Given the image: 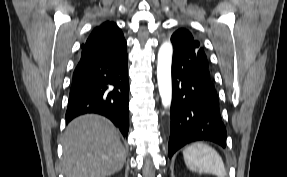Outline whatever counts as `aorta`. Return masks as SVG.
<instances>
[{
	"mask_svg": "<svg viewBox=\"0 0 287 177\" xmlns=\"http://www.w3.org/2000/svg\"><path fill=\"white\" fill-rule=\"evenodd\" d=\"M173 48L170 42H164L158 51L157 57V81L162 105L169 108L172 100V64Z\"/></svg>",
	"mask_w": 287,
	"mask_h": 177,
	"instance_id": "762f6f07",
	"label": "aorta"
}]
</instances>
